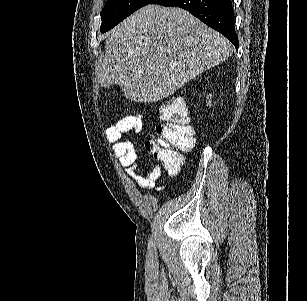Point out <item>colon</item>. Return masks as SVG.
I'll use <instances>...</instances> for the list:
<instances>
[{
    "label": "colon",
    "instance_id": "colon-1",
    "mask_svg": "<svg viewBox=\"0 0 307 301\" xmlns=\"http://www.w3.org/2000/svg\"><path fill=\"white\" fill-rule=\"evenodd\" d=\"M157 114L163 123L157 125L155 135L146 141V147L169 174H175L183 161L180 152L190 150L194 145V130L189 123L186 105L179 97L163 100Z\"/></svg>",
    "mask_w": 307,
    "mask_h": 301
}]
</instances>
